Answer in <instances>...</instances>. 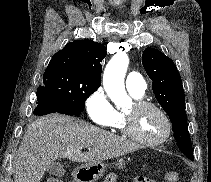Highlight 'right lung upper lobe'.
<instances>
[{
  "instance_id": "obj_1",
  "label": "right lung upper lobe",
  "mask_w": 211,
  "mask_h": 182,
  "mask_svg": "<svg viewBox=\"0 0 211 182\" xmlns=\"http://www.w3.org/2000/svg\"><path fill=\"white\" fill-rule=\"evenodd\" d=\"M106 54V48L100 43L88 39L75 40L58 51L47 68L56 67L100 85L102 72L100 62Z\"/></svg>"
}]
</instances>
